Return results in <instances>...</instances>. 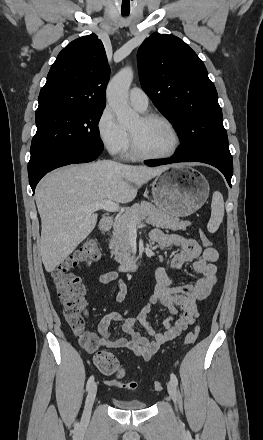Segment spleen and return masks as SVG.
<instances>
[{
  "mask_svg": "<svg viewBox=\"0 0 263 440\" xmlns=\"http://www.w3.org/2000/svg\"><path fill=\"white\" fill-rule=\"evenodd\" d=\"M224 217V199L223 195L216 191L212 196L211 203V217L207 224V229L210 233H214L218 230Z\"/></svg>",
  "mask_w": 263,
  "mask_h": 440,
  "instance_id": "3e777b00",
  "label": "spleen"
}]
</instances>
